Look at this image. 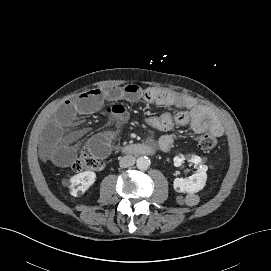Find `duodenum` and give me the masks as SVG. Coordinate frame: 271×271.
Here are the masks:
<instances>
[{
    "mask_svg": "<svg viewBox=\"0 0 271 271\" xmlns=\"http://www.w3.org/2000/svg\"><path fill=\"white\" fill-rule=\"evenodd\" d=\"M154 149L150 146H140L135 150V154L144 156V155H151Z\"/></svg>",
    "mask_w": 271,
    "mask_h": 271,
    "instance_id": "duodenum-1",
    "label": "duodenum"
}]
</instances>
